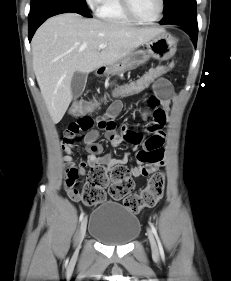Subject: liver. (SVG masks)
Listing matches in <instances>:
<instances>
[{"instance_id": "6515ba94", "label": "liver", "mask_w": 231, "mask_h": 281, "mask_svg": "<svg viewBox=\"0 0 231 281\" xmlns=\"http://www.w3.org/2000/svg\"><path fill=\"white\" fill-rule=\"evenodd\" d=\"M162 32L163 28L86 19L76 13L60 14L45 21L32 39V58L53 123L61 121L72 101L71 81L75 72L86 74L112 65ZM101 44H106V48L99 49Z\"/></svg>"}]
</instances>
